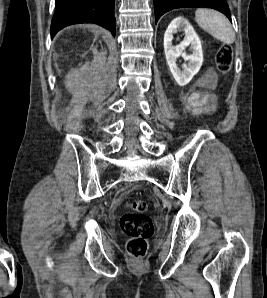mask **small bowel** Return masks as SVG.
<instances>
[{
	"label": "small bowel",
	"instance_id": "small-bowel-1",
	"mask_svg": "<svg viewBox=\"0 0 267 298\" xmlns=\"http://www.w3.org/2000/svg\"><path fill=\"white\" fill-rule=\"evenodd\" d=\"M216 81L215 74L212 70H208L201 79L200 83L205 87V91H194L188 98L186 108L195 115L207 114L214 110V100L210 94V90Z\"/></svg>",
	"mask_w": 267,
	"mask_h": 298
}]
</instances>
